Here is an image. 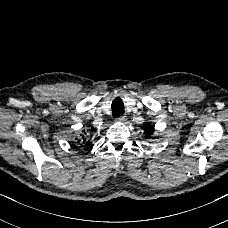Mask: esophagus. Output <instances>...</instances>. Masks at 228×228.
<instances>
[{
    "label": "esophagus",
    "mask_w": 228,
    "mask_h": 228,
    "mask_svg": "<svg viewBox=\"0 0 228 228\" xmlns=\"http://www.w3.org/2000/svg\"><path fill=\"white\" fill-rule=\"evenodd\" d=\"M127 120V116H120L115 121L116 122H125Z\"/></svg>",
    "instance_id": "1"
}]
</instances>
